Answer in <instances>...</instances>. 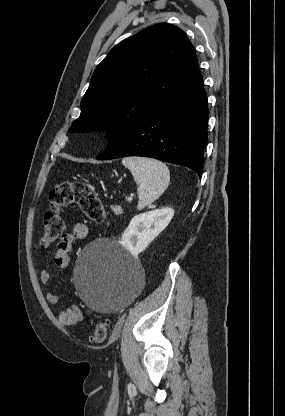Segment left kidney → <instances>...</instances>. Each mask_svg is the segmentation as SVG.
<instances>
[{"label": "left kidney", "mask_w": 285, "mask_h": 416, "mask_svg": "<svg viewBox=\"0 0 285 416\" xmlns=\"http://www.w3.org/2000/svg\"><path fill=\"white\" fill-rule=\"evenodd\" d=\"M173 216L174 210L172 208H160V210H152V212L134 216L122 234V246L133 256H138L146 250L154 238H157L167 228Z\"/></svg>", "instance_id": "5707ae66"}]
</instances>
